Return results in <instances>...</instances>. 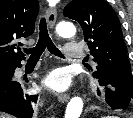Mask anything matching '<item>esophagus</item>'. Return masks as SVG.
<instances>
[{
    "instance_id": "obj_1",
    "label": "esophagus",
    "mask_w": 133,
    "mask_h": 118,
    "mask_svg": "<svg viewBox=\"0 0 133 118\" xmlns=\"http://www.w3.org/2000/svg\"><path fill=\"white\" fill-rule=\"evenodd\" d=\"M57 18V10L55 7H48L46 10V19L47 23L51 30L54 29L55 23ZM70 99L69 94H60L58 96V100L62 103L67 102Z\"/></svg>"
}]
</instances>
